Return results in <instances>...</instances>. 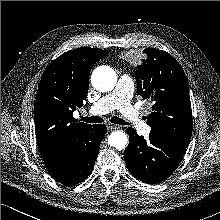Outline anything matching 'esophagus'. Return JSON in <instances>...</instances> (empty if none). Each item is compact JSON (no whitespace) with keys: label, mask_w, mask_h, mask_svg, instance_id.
Wrapping results in <instances>:
<instances>
[{"label":"esophagus","mask_w":220,"mask_h":220,"mask_svg":"<svg viewBox=\"0 0 220 220\" xmlns=\"http://www.w3.org/2000/svg\"><path fill=\"white\" fill-rule=\"evenodd\" d=\"M107 128H108V130H115V129H118L119 126H118V125L111 124V123H108V124H107Z\"/></svg>","instance_id":"1"}]
</instances>
